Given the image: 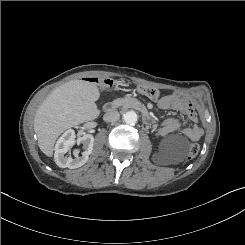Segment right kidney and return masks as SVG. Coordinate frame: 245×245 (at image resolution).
<instances>
[{"mask_svg":"<svg viewBox=\"0 0 245 245\" xmlns=\"http://www.w3.org/2000/svg\"><path fill=\"white\" fill-rule=\"evenodd\" d=\"M75 132L72 129L67 130L57 141L55 146V162L61 168H78L88 161L89 155L92 153L94 137L90 134L84 135L77 140L75 139ZM83 144L82 156H78V152H74L75 158L67 157L65 154L75 143Z\"/></svg>","mask_w":245,"mask_h":245,"instance_id":"obj_1","label":"right kidney"}]
</instances>
